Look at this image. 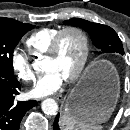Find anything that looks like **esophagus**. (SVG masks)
<instances>
[{
    "mask_svg": "<svg viewBox=\"0 0 130 130\" xmlns=\"http://www.w3.org/2000/svg\"><path fill=\"white\" fill-rule=\"evenodd\" d=\"M55 100H57L58 102H62L64 100L63 96L62 95H55L53 97Z\"/></svg>",
    "mask_w": 130,
    "mask_h": 130,
    "instance_id": "34e87169",
    "label": "esophagus"
}]
</instances>
